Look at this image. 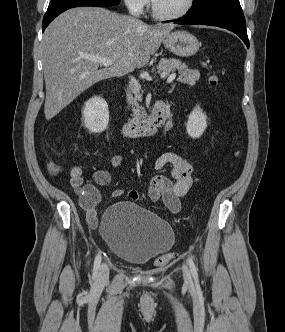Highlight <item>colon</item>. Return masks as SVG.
<instances>
[{"label": "colon", "instance_id": "colon-1", "mask_svg": "<svg viewBox=\"0 0 285 332\" xmlns=\"http://www.w3.org/2000/svg\"><path fill=\"white\" fill-rule=\"evenodd\" d=\"M210 83L212 85H216L217 84V77L216 76H211ZM50 169L53 173H56L58 171V168L53 164L50 165ZM171 257H172V254H170V253L165 254L157 260V264L158 265H164L170 260Z\"/></svg>", "mask_w": 285, "mask_h": 332}]
</instances>
